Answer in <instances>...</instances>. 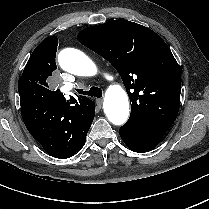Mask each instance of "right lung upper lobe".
<instances>
[{
	"label": "right lung upper lobe",
	"mask_w": 209,
	"mask_h": 209,
	"mask_svg": "<svg viewBox=\"0 0 209 209\" xmlns=\"http://www.w3.org/2000/svg\"><path fill=\"white\" fill-rule=\"evenodd\" d=\"M57 45V37L50 36L44 39L41 44L35 48L32 54L34 55L42 49L55 51L56 54ZM26 92H19V95L23 97ZM49 97L61 107V111L52 122V125L68 129L70 131V138L74 141L86 136L95 116V103L84 96H78L77 99L70 97V100H66L63 94L58 90L52 91Z\"/></svg>",
	"instance_id": "cb5924a9"
}]
</instances>
